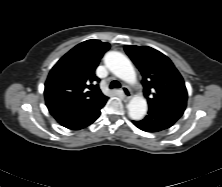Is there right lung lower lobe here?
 <instances>
[{
    "label": "right lung lower lobe",
    "mask_w": 222,
    "mask_h": 187,
    "mask_svg": "<svg viewBox=\"0 0 222 187\" xmlns=\"http://www.w3.org/2000/svg\"><path fill=\"white\" fill-rule=\"evenodd\" d=\"M105 103L88 109H74L53 104H47V107L59 124L68 129L79 130L90 125L100 116V110Z\"/></svg>",
    "instance_id": "98d812e1"
}]
</instances>
